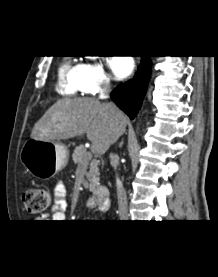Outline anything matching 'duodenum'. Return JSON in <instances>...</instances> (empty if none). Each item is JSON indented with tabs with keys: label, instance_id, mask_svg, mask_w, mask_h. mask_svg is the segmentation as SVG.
I'll return each mask as SVG.
<instances>
[{
	"label": "duodenum",
	"instance_id": "410a0bca",
	"mask_svg": "<svg viewBox=\"0 0 218 277\" xmlns=\"http://www.w3.org/2000/svg\"><path fill=\"white\" fill-rule=\"evenodd\" d=\"M110 191L106 186H100L95 189L93 202L101 209L106 210L109 207Z\"/></svg>",
	"mask_w": 218,
	"mask_h": 277
}]
</instances>
